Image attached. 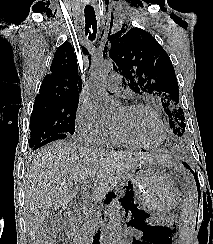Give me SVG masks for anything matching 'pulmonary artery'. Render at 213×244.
I'll return each mask as SVG.
<instances>
[{
  "mask_svg": "<svg viewBox=\"0 0 213 244\" xmlns=\"http://www.w3.org/2000/svg\"><path fill=\"white\" fill-rule=\"evenodd\" d=\"M121 88L122 76L117 73L111 74L104 83V89L112 93L120 92Z\"/></svg>",
  "mask_w": 213,
  "mask_h": 244,
  "instance_id": "e3ab8cb5",
  "label": "pulmonary artery"
}]
</instances>
